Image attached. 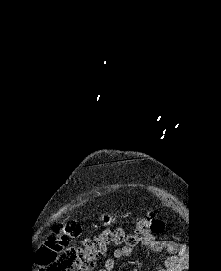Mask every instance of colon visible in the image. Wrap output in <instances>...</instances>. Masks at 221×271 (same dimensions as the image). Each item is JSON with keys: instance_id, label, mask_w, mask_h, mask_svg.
Here are the masks:
<instances>
[{"instance_id": "1", "label": "colon", "mask_w": 221, "mask_h": 271, "mask_svg": "<svg viewBox=\"0 0 221 271\" xmlns=\"http://www.w3.org/2000/svg\"><path fill=\"white\" fill-rule=\"evenodd\" d=\"M164 228L162 221L147 216L138 219L130 233L119 227L107 228L80 245L70 246V240L79 237L82 228L76 221L67 220L57 224L54 233L43 240L35 251L34 263L39 271H91L111 246H136L162 234Z\"/></svg>"}]
</instances>
